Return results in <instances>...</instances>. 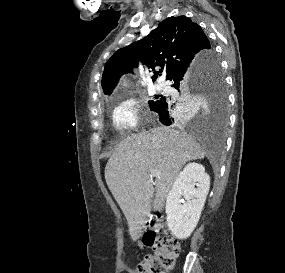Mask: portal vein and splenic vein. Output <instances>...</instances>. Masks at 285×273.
<instances>
[{
  "label": "portal vein and splenic vein",
  "instance_id": "1",
  "mask_svg": "<svg viewBox=\"0 0 285 273\" xmlns=\"http://www.w3.org/2000/svg\"><path fill=\"white\" fill-rule=\"evenodd\" d=\"M160 175H161V173L159 172V171H157V170H152V171H150V176L151 177H160Z\"/></svg>",
  "mask_w": 285,
  "mask_h": 273
}]
</instances>
